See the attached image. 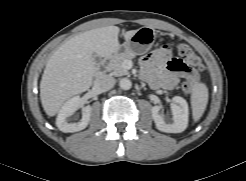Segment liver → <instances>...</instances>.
<instances>
[{
	"label": "liver",
	"mask_w": 246,
	"mask_h": 181,
	"mask_svg": "<svg viewBox=\"0 0 246 181\" xmlns=\"http://www.w3.org/2000/svg\"><path fill=\"white\" fill-rule=\"evenodd\" d=\"M136 31L125 32V40ZM118 34L117 26L92 29L72 37L53 53L40 82L41 103L48 116L56 115L66 100L91 87L96 71L93 54H115L120 48Z\"/></svg>",
	"instance_id": "6515ba94"
}]
</instances>
